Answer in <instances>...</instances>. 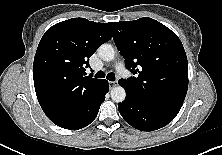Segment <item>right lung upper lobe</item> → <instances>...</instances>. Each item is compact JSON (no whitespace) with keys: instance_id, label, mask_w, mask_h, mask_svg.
Masks as SVG:
<instances>
[{"instance_id":"cb5924a9","label":"right lung upper lobe","mask_w":222,"mask_h":155,"mask_svg":"<svg viewBox=\"0 0 222 155\" xmlns=\"http://www.w3.org/2000/svg\"><path fill=\"white\" fill-rule=\"evenodd\" d=\"M109 23L72 18L50 27L34 58L33 78L37 98L53 102L71 99L94 88L101 79L86 76L89 58L111 39Z\"/></svg>"}]
</instances>
